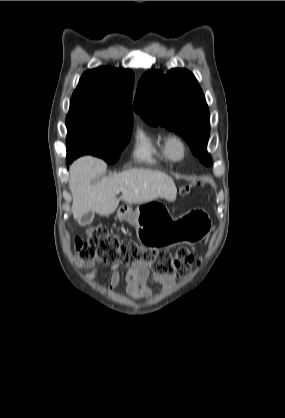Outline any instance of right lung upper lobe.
<instances>
[{
  "label": "right lung upper lobe",
  "mask_w": 285,
  "mask_h": 418,
  "mask_svg": "<svg viewBox=\"0 0 285 418\" xmlns=\"http://www.w3.org/2000/svg\"><path fill=\"white\" fill-rule=\"evenodd\" d=\"M134 74L129 69L99 67L82 75L68 115L132 126Z\"/></svg>",
  "instance_id": "obj_1"
}]
</instances>
